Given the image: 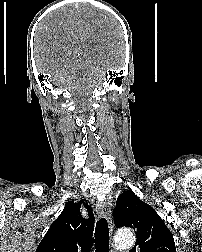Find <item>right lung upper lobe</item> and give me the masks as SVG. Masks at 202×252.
Here are the masks:
<instances>
[{
	"mask_svg": "<svg viewBox=\"0 0 202 252\" xmlns=\"http://www.w3.org/2000/svg\"><path fill=\"white\" fill-rule=\"evenodd\" d=\"M79 203L69 201L40 242L36 252H89L92 246L94 215L84 203L89 218L81 216Z\"/></svg>",
	"mask_w": 202,
	"mask_h": 252,
	"instance_id": "obj_1",
	"label": "right lung upper lobe"
}]
</instances>
